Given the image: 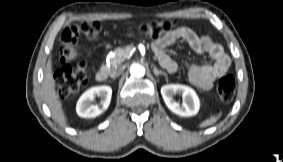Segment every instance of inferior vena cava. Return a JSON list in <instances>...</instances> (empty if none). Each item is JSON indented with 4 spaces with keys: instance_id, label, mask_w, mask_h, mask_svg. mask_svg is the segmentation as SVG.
I'll use <instances>...</instances> for the list:
<instances>
[{
    "instance_id": "inferior-vena-cava-1",
    "label": "inferior vena cava",
    "mask_w": 283,
    "mask_h": 162,
    "mask_svg": "<svg viewBox=\"0 0 283 162\" xmlns=\"http://www.w3.org/2000/svg\"><path fill=\"white\" fill-rule=\"evenodd\" d=\"M120 74H121V71L118 70V71L112 72L110 76H111L112 78H115V77L119 76Z\"/></svg>"
}]
</instances>
